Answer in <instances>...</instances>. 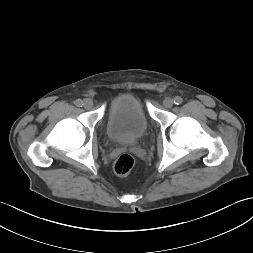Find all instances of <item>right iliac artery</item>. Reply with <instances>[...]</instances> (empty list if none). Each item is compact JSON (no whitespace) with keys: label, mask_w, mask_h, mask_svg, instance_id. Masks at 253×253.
I'll list each match as a JSON object with an SVG mask.
<instances>
[{"label":"right iliac artery","mask_w":253,"mask_h":253,"mask_svg":"<svg viewBox=\"0 0 253 253\" xmlns=\"http://www.w3.org/2000/svg\"><path fill=\"white\" fill-rule=\"evenodd\" d=\"M75 105L78 106V107H81V106H83V101L78 99V100L75 101Z\"/></svg>","instance_id":"right-iliac-artery-1"}]
</instances>
